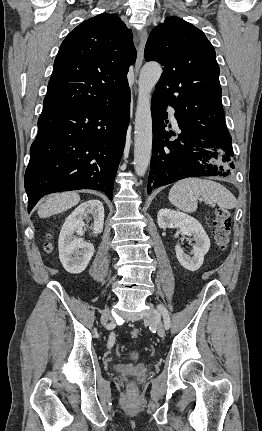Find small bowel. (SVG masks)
<instances>
[{
    "label": "small bowel",
    "mask_w": 262,
    "mask_h": 431,
    "mask_svg": "<svg viewBox=\"0 0 262 431\" xmlns=\"http://www.w3.org/2000/svg\"><path fill=\"white\" fill-rule=\"evenodd\" d=\"M115 340V334L114 333H112L110 336H109V340Z\"/></svg>",
    "instance_id": "obj_1"
}]
</instances>
